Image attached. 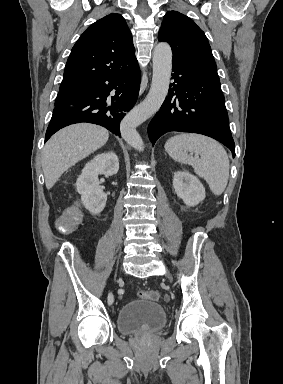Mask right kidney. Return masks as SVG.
Instances as JSON below:
<instances>
[{"mask_svg":"<svg viewBox=\"0 0 283 384\" xmlns=\"http://www.w3.org/2000/svg\"><path fill=\"white\" fill-rule=\"evenodd\" d=\"M119 170V160L114 152L99 154L94 160L88 162L82 170L81 176L77 178L76 190L81 194L82 204L90 214L96 216L104 210L107 202V194H104L100 182L99 174L104 176H114Z\"/></svg>","mask_w":283,"mask_h":384,"instance_id":"right-kidney-1","label":"right kidney"}]
</instances>
